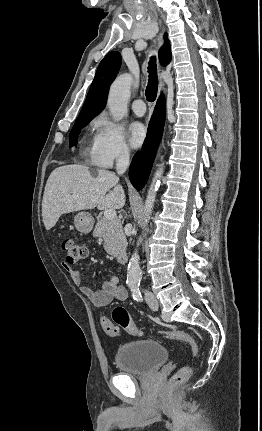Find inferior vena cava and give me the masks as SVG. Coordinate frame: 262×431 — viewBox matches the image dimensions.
I'll return each instance as SVG.
<instances>
[{"mask_svg":"<svg viewBox=\"0 0 262 431\" xmlns=\"http://www.w3.org/2000/svg\"><path fill=\"white\" fill-rule=\"evenodd\" d=\"M129 166V151L123 148L116 156V171L119 175L123 174Z\"/></svg>","mask_w":262,"mask_h":431,"instance_id":"obj_1","label":"inferior vena cava"}]
</instances>
